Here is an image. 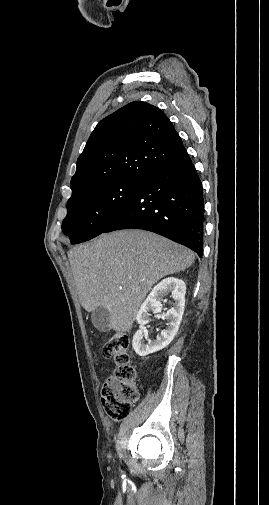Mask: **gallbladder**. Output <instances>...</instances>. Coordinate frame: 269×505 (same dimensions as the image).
I'll list each match as a JSON object with an SVG mask.
<instances>
[{"instance_id":"gallbladder-1","label":"gallbladder","mask_w":269,"mask_h":505,"mask_svg":"<svg viewBox=\"0 0 269 505\" xmlns=\"http://www.w3.org/2000/svg\"><path fill=\"white\" fill-rule=\"evenodd\" d=\"M94 327L101 332H108L111 329L110 313L104 307L96 308L91 315Z\"/></svg>"}]
</instances>
